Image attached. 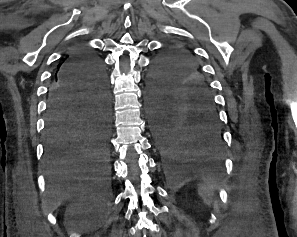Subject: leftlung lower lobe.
<instances>
[{
  "label": "left lung lower lobe",
  "instance_id": "obj_1",
  "mask_svg": "<svg viewBox=\"0 0 297 237\" xmlns=\"http://www.w3.org/2000/svg\"><path fill=\"white\" fill-rule=\"evenodd\" d=\"M149 113L157 147L169 165L221 167L224 144L213 103L203 100L175 105L149 100Z\"/></svg>",
  "mask_w": 297,
  "mask_h": 237
}]
</instances>
